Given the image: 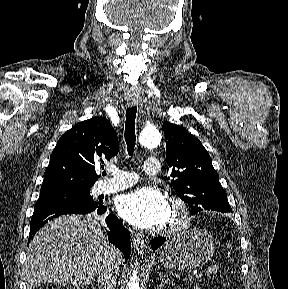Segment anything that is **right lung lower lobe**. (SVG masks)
Here are the masks:
<instances>
[{"label":"right lung lower lobe","mask_w":288,"mask_h":289,"mask_svg":"<svg viewBox=\"0 0 288 289\" xmlns=\"http://www.w3.org/2000/svg\"><path fill=\"white\" fill-rule=\"evenodd\" d=\"M106 206L100 204L94 208H83L66 204H47L35 206L34 213L30 223L29 240L34 234L49 220L64 214H86L94 212L97 215L105 213ZM106 224L109 228L107 232L109 241L118 247L126 259L131 253L130 233L124 228L120 220L113 214L106 217Z\"/></svg>","instance_id":"1"}]
</instances>
